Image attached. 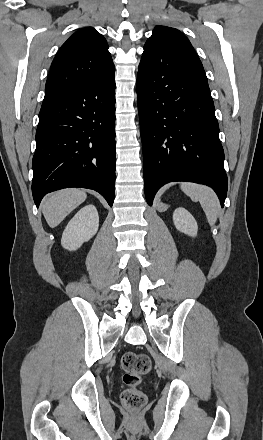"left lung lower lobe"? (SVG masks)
I'll return each instance as SVG.
<instances>
[{
    "label": "left lung lower lobe",
    "mask_w": 263,
    "mask_h": 440,
    "mask_svg": "<svg viewBox=\"0 0 263 440\" xmlns=\"http://www.w3.org/2000/svg\"><path fill=\"white\" fill-rule=\"evenodd\" d=\"M136 90L147 203L164 184L190 181L212 187L223 207L228 180L207 80L169 57L140 63Z\"/></svg>",
    "instance_id": "0a47b994"
}]
</instances>
